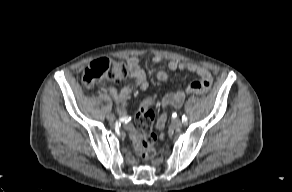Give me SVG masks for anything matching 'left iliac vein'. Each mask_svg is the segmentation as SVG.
Listing matches in <instances>:
<instances>
[{
    "instance_id": "obj_1",
    "label": "left iliac vein",
    "mask_w": 292,
    "mask_h": 192,
    "mask_svg": "<svg viewBox=\"0 0 292 192\" xmlns=\"http://www.w3.org/2000/svg\"><path fill=\"white\" fill-rule=\"evenodd\" d=\"M172 126L175 128V129H180L182 126H183V122L179 119H176L172 122Z\"/></svg>"
}]
</instances>
